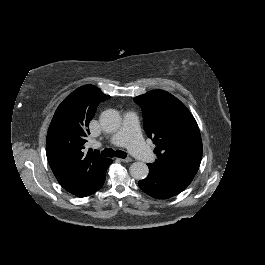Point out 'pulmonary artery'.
<instances>
[{
  "label": "pulmonary artery",
  "mask_w": 265,
  "mask_h": 265,
  "mask_svg": "<svg viewBox=\"0 0 265 265\" xmlns=\"http://www.w3.org/2000/svg\"><path fill=\"white\" fill-rule=\"evenodd\" d=\"M137 120L136 114L125 113L123 119L124 125L120 126L116 133L111 134L107 138L106 144L108 147L113 148L128 143V149L137 155L142 163H151L154 161L155 156L141 143ZM97 144L100 145L101 143L98 142Z\"/></svg>",
  "instance_id": "obj_1"
}]
</instances>
